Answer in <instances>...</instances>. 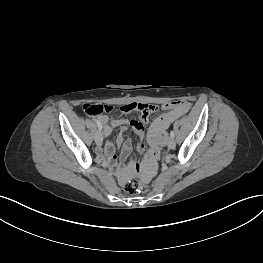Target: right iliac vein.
I'll return each mask as SVG.
<instances>
[{"label": "right iliac vein", "instance_id": "obj_1", "mask_svg": "<svg viewBox=\"0 0 263 263\" xmlns=\"http://www.w3.org/2000/svg\"><path fill=\"white\" fill-rule=\"evenodd\" d=\"M94 139H95V142H96L97 145H102L103 137H102V133H101L100 130H98L95 133Z\"/></svg>", "mask_w": 263, "mask_h": 263}]
</instances>
